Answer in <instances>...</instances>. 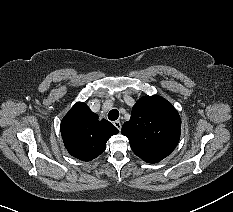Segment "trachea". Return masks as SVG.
<instances>
[{
	"instance_id": "1",
	"label": "trachea",
	"mask_w": 233,
	"mask_h": 212,
	"mask_svg": "<svg viewBox=\"0 0 233 212\" xmlns=\"http://www.w3.org/2000/svg\"><path fill=\"white\" fill-rule=\"evenodd\" d=\"M119 117V111L117 109H112L109 113H108V119L111 121H115L117 120Z\"/></svg>"
}]
</instances>
